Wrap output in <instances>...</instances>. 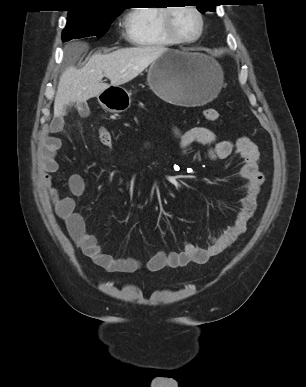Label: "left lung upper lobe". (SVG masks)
I'll list each match as a JSON object with an SVG mask.
<instances>
[{"label":"left lung upper lobe","mask_w":306,"mask_h":387,"mask_svg":"<svg viewBox=\"0 0 306 387\" xmlns=\"http://www.w3.org/2000/svg\"><path fill=\"white\" fill-rule=\"evenodd\" d=\"M219 0H194L197 9L201 13L207 11H215V6L218 5Z\"/></svg>","instance_id":"5c2ea615"}]
</instances>
